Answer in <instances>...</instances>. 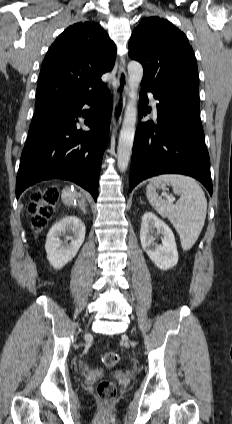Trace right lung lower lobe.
I'll return each mask as SVG.
<instances>
[{
    "label": "right lung lower lobe",
    "instance_id": "1",
    "mask_svg": "<svg viewBox=\"0 0 232 424\" xmlns=\"http://www.w3.org/2000/svg\"><path fill=\"white\" fill-rule=\"evenodd\" d=\"M100 94L74 103H51L36 108L22 151L16 197L47 179L70 180L97 199L101 161L109 137L112 102L109 91L89 117L90 131L78 132L77 117L84 104L94 106Z\"/></svg>",
    "mask_w": 232,
    "mask_h": 424
}]
</instances>
